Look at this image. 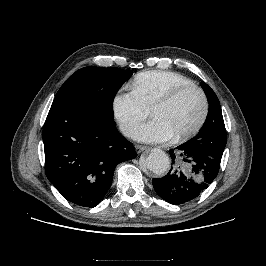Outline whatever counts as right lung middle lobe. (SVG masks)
<instances>
[{"label": "right lung middle lobe", "instance_id": "1", "mask_svg": "<svg viewBox=\"0 0 266 266\" xmlns=\"http://www.w3.org/2000/svg\"><path fill=\"white\" fill-rule=\"evenodd\" d=\"M131 76V72L119 68L84 67L65 81L51 108L89 111L114 119V97Z\"/></svg>", "mask_w": 266, "mask_h": 266}]
</instances>
